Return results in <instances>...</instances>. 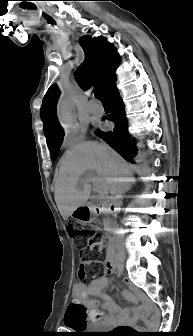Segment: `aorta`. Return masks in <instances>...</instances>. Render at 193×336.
I'll return each mask as SVG.
<instances>
[{"label":"aorta","mask_w":193,"mask_h":336,"mask_svg":"<svg viewBox=\"0 0 193 336\" xmlns=\"http://www.w3.org/2000/svg\"><path fill=\"white\" fill-rule=\"evenodd\" d=\"M57 117L65 129H72L77 125L75 114V94L71 88H64L57 105Z\"/></svg>","instance_id":"aorta-1"}]
</instances>
